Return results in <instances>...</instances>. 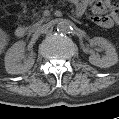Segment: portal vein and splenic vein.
<instances>
[{"instance_id": "18ae733b", "label": "portal vein and splenic vein", "mask_w": 119, "mask_h": 119, "mask_svg": "<svg viewBox=\"0 0 119 119\" xmlns=\"http://www.w3.org/2000/svg\"><path fill=\"white\" fill-rule=\"evenodd\" d=\"M49 14H50V11L47 10V11H46V15H49Z\"/></svg>"}]
</instances>
